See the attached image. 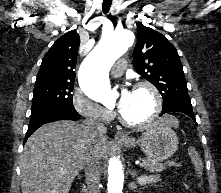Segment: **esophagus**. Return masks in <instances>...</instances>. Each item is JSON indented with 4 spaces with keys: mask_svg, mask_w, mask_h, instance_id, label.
<instances>
[{
    "mask_svg": "<svg viewBox=\"0 0 221 193\" xmlns=\"http://www.w3.org/2000/svg\"><path fill=\"white\" fill-rule=\"evenodd\" d=\"M115 139L125 140L127 139V136L122 131H117L115 134Z\"/></svg>",
    "mask_w": 221,
    "mask_h": 193,
    "instance_id": "34e87169",
    "label": "esophagus"
}]
</instances>
